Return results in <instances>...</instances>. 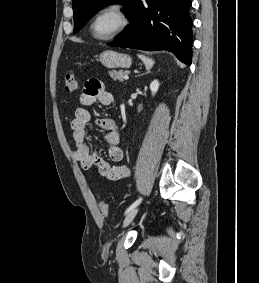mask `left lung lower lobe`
<instances>
[{
	"label": "left lung lower lobe",
	"instance_id": "0a47b994",
	"mask_svg": "<svg viewBox=\"0 0 259 283\" xmlns=\"http://www.w3.org/2000/svg\"><path fill=\"white\" fill-rule=\"evenodd\" d=\"M191 0H136L129 15L131 24L108 44L141 50H168L191 64Z\"/></svg>",
	"mask_w": 259,
	"mask_h": 283
}]
</instances>
